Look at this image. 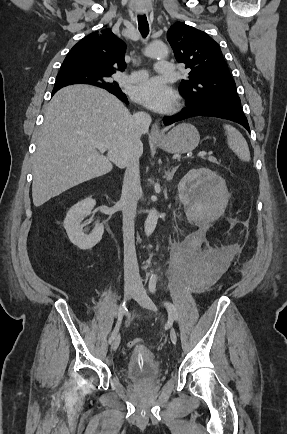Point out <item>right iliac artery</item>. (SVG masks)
I'll return each instance as SVG.
<instances>
[{
  "instance_id": "1",
  "label": "right iliac artery",
  "mask_w": 287,
  "mask_h": 434,
  "mask_svg": "<svg viewBox=\"0 0 287 434\" xmlns=\"http://www.w3.org/2000/svg\"><path fill=\"white\" fill-rule=\"evenodd\" d=\"M141 283H142V281H139V284H141ZM126 311H127V308H126V304H125V300H124L119 307L118 320H117V323H116V325H115V327L111 333L110 341H112L115 338V336L117 335V333L119 332V329H120V326L122 323V319H123V316L126 313Z\"/></svg>"
}]
</instances>
